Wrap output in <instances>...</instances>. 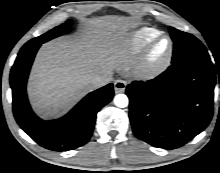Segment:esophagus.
I'll list each match as a JSON object with an SVG mask.
<instances>
[{
  "mask_svg": "<svg viewBox=\"0 0 220 173\" xmlns=\"http://www.w3.org/2000/svg\"><path fill=\"white\" fill-rule=\"evenodd\" d=\"M126 81L124 80H116L114 82V90H115V93L118 94V93H123L126 89Z\"/></svg>",
  "mask_w": 220,
  "mask_h": 173,
  "instance_id": "34e87169",
  "label": "esophagus"
}]
</instances>
